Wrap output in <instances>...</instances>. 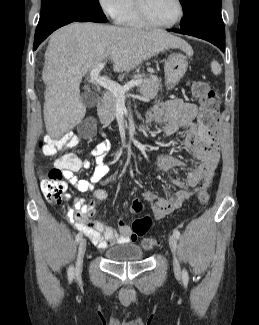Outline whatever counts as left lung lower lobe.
I'll list each match as a JSON object with an SVG mask.
<instances>
[{
  "mask_svg": "<svg viewBox=\"0 0 259 325\" xmlns=\"http://www.w3.org/2000/svg\"><path fill=\"white\" fill-rule=\"evenodd\" d=\"M172 31L207 40L220 48V50H225V29L221 15H206L199 18L188 28L172 29Z\"/></svg>",
  "mask_w": 259,
  "mask_h": 325,
  "instance_id": "obj_1",
  "label": "left lung lower lobe"
}]
</instances>
